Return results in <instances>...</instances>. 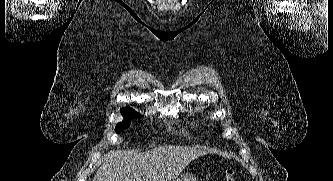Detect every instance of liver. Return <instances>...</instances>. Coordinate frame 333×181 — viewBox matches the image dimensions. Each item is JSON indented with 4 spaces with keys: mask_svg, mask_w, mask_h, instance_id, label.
Listing matches in <instances>:
<instances>
[{
    "mask_svg": "<svg viewBox=\"0 0 333 181\" xmlns=\"http://www.w3.org/2000/svg\"><path fill=\"white\" fill-rule=\"evenodd\" d=\"M206 151L200 147L162 146L143 153L106 154L93 181H175L182 170Z\"/></svg>",
    "mask_w": 333,
    "mask_h": 181,
    "instance_id": "obj_1",
    "label": "liver"
}]
</instances>
